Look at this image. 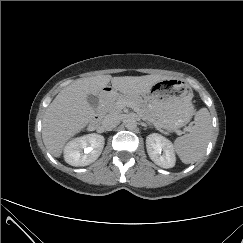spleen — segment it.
Instances as JSON below:
<instances>
[{
  "instance_id": "obj_1",
  "label": "spleen",
  "mask_w": 243,
  "mask_h": 243,
  "mask_svg": "<svg viewBox=\"0 0 243 243\" xmlns=\"http://www.w3.org/2000/svg\"><path fill=\"white\" fill-rule=\"evenodd\" d=\"M211 132L210 113L207 108H201L195 114L190 132L174 141V150L183 163H193L205 154Z\"/></svg>"
}]
</instances>
